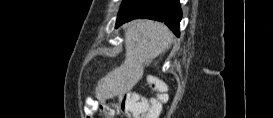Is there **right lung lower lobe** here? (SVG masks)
<instances>
[{
    "label": "right lung lower lobe",
    "instance_id": "right-lung-lower-lobe-1",
    "mask_svg": "<svg viewBox=\"0 0 273 118\" xmlns=\"http://www.w3.org/2000/svg\"><path fill=\"white\" fill-rule=\"evenodd\" d=\"M137 18L164 22L177 36L182 11L179 0H126L122 3L116 27Z\"/></svg>",
    "mask_w": 273,
    "mask_h": 118
}]
</instances>
